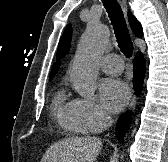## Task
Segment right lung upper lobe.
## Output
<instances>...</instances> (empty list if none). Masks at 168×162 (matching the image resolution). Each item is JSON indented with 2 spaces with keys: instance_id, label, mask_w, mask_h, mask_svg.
<instances>
[{
  "instance_id": "cb5924a9",
  "label": "right lung upper lobe",
  "mask_w": 168,
  "mask_h": 162,
  "mask_svg": "<svg viewBox=\"0 0 168 162\" xmlns=\"http://www.w3.org/2000/svg\"><path fill=\"white\" fill-rule=\"evenodd\" d=\"M128 19H129V23H130V26L133 32L138 37H142V26L139 23V21L132 15L130 11L128 12ZM70 31H71V28H70V25H68L59 41L58 50H57V60L53 64L50 77H49L50 80L57 73L59 66H60V60L67 54L70 48V40H71Z\"/></svg>"
}]
</instances>
